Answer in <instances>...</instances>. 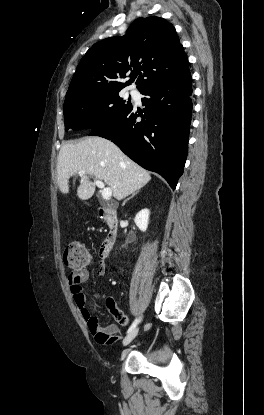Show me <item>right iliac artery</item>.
<instances>
[{
    "instance_id": "82829eb1",
    "label": "right iliac artery",
    "mask_w": 264,
    "mask_h": 415,
    "mask_svg": "<svg viewBox=\"0 0 264 415\" xmlns=\"http://www.w3.org/2000/svg\"><path fill=\"white\" fill-rule=\"evenodd\" d=\"M138 322H139V318H136V319L133 321V323L131 324V326L129 327V329H128L127 333H130L132 330H134V329L136 328V326H137Z\"/></svg>"
}]
</instances>
